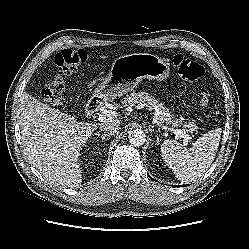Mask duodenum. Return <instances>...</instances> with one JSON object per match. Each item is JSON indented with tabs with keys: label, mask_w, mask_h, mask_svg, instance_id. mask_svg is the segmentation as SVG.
<instances>
[{
	"label": "duodenum",
	"mask_w": 249,
	"mask_h": 249,
	"mask_svg": "<svg viewBox=\"0 0 249 249\" xmlns=\"http://www.w3.org/2000/svg\"><path fill=\"white\" fill-rule=\"evenodd\" d=\"M102 104H103L102 98H100L98 96L92 97L88 101L87 106H86L87 115L92 116V115L96 114L99 111V109L101 108Z\"/></svg>",
	"instance_id": "duodenum-1"
}]
</instances>
